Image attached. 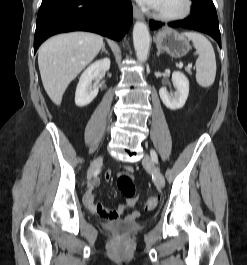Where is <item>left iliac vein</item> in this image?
<instances>
[{"label":"left iliac vein","mask_w":247,"mask_h":265,"mask_svg":"<svg viewBox=\"0 0 247 265\" xmlns=\"http://www.w3.org/2000/svg\"><path fill=\"white\" fill-rule=\"evenodd\" d=\"M143 166L151 171L155 177L156 185L160 188H163L165 185V179L159 168L154 164L153 160L149 155L145 154L142 159Z\"/></svg>","instance_id":"1"}]
</instances>
